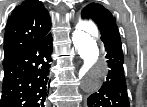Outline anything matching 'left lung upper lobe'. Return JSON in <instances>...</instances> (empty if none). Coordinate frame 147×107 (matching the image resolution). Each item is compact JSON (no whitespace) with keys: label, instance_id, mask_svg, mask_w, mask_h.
Here are the masks:
<instances>
[{"label":"left lung upper lobe","instance_id":"obj_1","mask_svg":"<svg viewBox=\"0 0 147 107\" xmlns=\"http://www.w3.org/2000/svg\"><path fill=\"white\" fill-rule=\"evenodd\" d=\"M81 17L85 20H93L98 26L101 35L111 31H117L115 18L109 10L98 3H90L81 11Z\"/></svg>","mask_w":147,"mask_h":107}]
</instances>
